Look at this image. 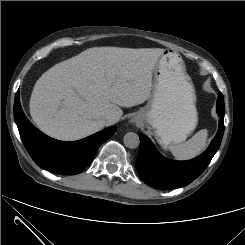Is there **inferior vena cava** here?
Returning <instances> with one entry per match:
<instances>
[{
  "label": "inferior vena cava",
  "instance_id": "inferior-vena-cava-1",
  "mask_svg": "<svg viewBox=\"0 0 245 245\" xmlns=\"http://www.w3.org/2000/svg\"><path fill=\"white\" fill-rule=\"evenodd\" d=\"M104 120L107 124L111 125L115 124L119 120V118L115 115L109 114L105 116Z\"/></svg>",
  "mask_w": 245,
  "mask_h": 245
}]
</instances>
